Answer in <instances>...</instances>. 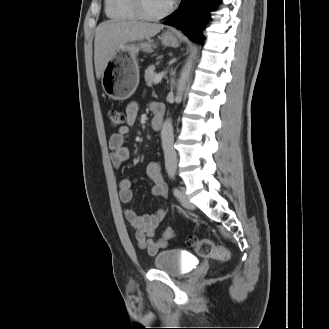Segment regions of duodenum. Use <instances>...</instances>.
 <instances>
[{"label": "duodenum", "mask_w": 329, "mask_h": 329, "mask_svg": "<svg viewBox=\"0 0 329 329\" xmlns=\"http://www.w3.org/2000/svg\"><path fill=\"white\" fill-rule=\"evenodd\" d=\"M153 118L151 121V126L154 130H159L162 127L163 119H164V109L158 105H153Z\"/></svg>", "instance_id": "1"}]
</instances>
